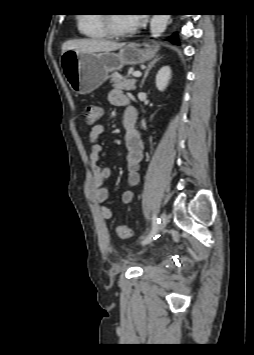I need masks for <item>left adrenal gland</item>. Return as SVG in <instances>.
I'll return each instance as SVG.
<instances>
[{
	"label": "left adrenal gland",
	"instance_id": "1",
	"mask_svg": "<svg viewBox=\"0 0 254 355\" xmlns=\"http://www.w3.org/2000/svg\"><path fill=\"white\" fill-rule=\"evenodd\" d=\"M160 59H161V57H156V58H154V59L148 64V67H147V69H146V71H145V73H144L143 79H142L141 84H140V89L143 88L144 82H145L146 77L148 76L150 70L152 69V67H153L158 61H160Z\"/></svg>",
	"mask_w": 254,
	"mask_h": 355
}]
</instances>
